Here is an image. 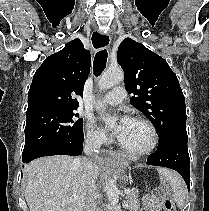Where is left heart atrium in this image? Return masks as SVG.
<instances>
[{
  "instance_id": "39dd6f15",
  "label": "left heart atrium",
  "mask_w": 209,
  "mask_h": 211,
  "mask_svg": "<svg viewBox=\"0 0 209 211\" xmlns=\"http://www.w3.org/2000/svg\"><path fill=\"white\" fill-rule=\"evenodd\" d=\"M132 122L133 119L128 116H122L119 119L117 126L114 129V135L119 141L125 136Z\"/></svg>"
}]
</instances>
